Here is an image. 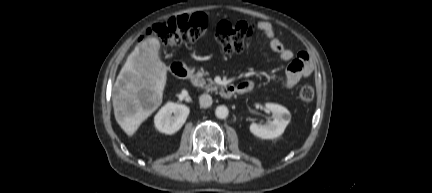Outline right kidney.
I'll return each instance as SVG.
<instances>
[{
	"mask_svg": "<svg viewBox=\"0 0 432 193\" xmlns=\"http://www.w3.org/2000/svg\"><path fill=\"white\" fill-rule=\"evenodd\" d=\"M189 112L186 105L169 102L155 115V127L162 133L174 134L183 126Z\"/></svg>",
	"mask_w": 432,
	"mask_h": 193,
	"instance_id": "right-kidney-1",
	"label": "right kidney"
}]
</instances>
